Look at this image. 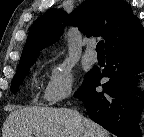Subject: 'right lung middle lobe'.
Returning a JSON list of instances; mask_svg holds the SVG:
<instances>
[{"mask_svg":"<svg viewBox=\"0 0 144 137\" xmlns=\"http://www.w3.org/2000/svg\"><path fill=\"white\" fill-rule=\"evenodd\" d=\"M36 59L31 60L23 65L18 66L17 68V72L13 78L12 84H11V91L13 93H16L18 90L19 85L22 83L25 74L27 73V71L30 69L31 65H33V63L35 62ZM91 76V71L87 73L84 83L90 78ZM83 83V84H84ZM82 87V86H81ZM81 87L79 88V90L76 92L75 97L80 93Z\"/></svg>","mask_w":144,"mask_h":137,"instance_id":"dd1d6c3e","label":"right lung middle lobe"}]
</instances>
